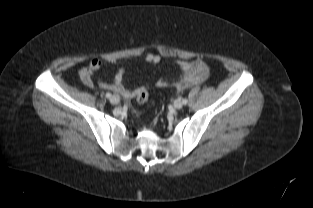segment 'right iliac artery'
<instances>
[{"instance_id": "right-iliac-artery-1", "label": "right iliac artery", "mask_w": 313, "mask_h": 208, "mask_svg": "<svg viewBox=\"0 0 313 208\" xmlns=\"http://www.w3.org/2000/svg\"><path fill=\"white\" fill-rule=\"evenodd\" d=\"M111 96H112L111 93H109V92L106 93V97H107V98H111Z\"/></svg>"}]
</instances>
